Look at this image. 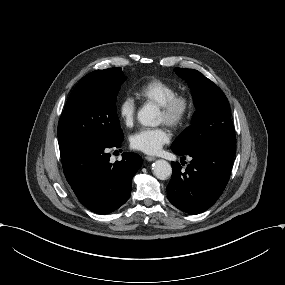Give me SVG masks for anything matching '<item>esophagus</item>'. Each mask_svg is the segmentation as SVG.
<instances>
[{
	"instance_id": "obj_1",
	"label": "esophagus",
	"mask_w": 285,
	"mask_h": 285,
	"mask_svg": "<svg viewBox=\"0 0 285 285\" xmlns=\"http://www.w3.org/2000/svg\"><path fill=\"white\" fill-rule=\"evenodd\" d=\"M145 159L147 161H154L156 158L154 156H146Z\"/></svg>"
}]
</instances>
